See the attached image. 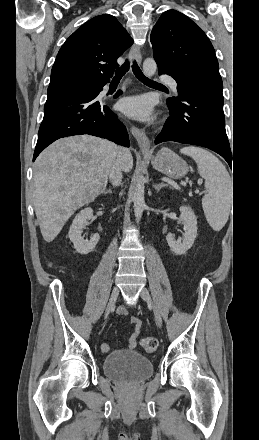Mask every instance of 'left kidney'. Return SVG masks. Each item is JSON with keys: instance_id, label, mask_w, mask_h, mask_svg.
<instances>
[{"instance_id": "obj_1", "label": "left kidney", "mask_w": 259, "mask_h": 440, "mask_svg": "<svg viewBox=\"0 0 259 440\" xmlns=\"http://www.w3.org/2000/svg\"><path fill=\"white\" fill-rule=\"evenodd\" d=\"M180 212L179 221L184 225L185 230L183 240L176 241L172 233L166 236L171 251L176 255L185 254L192 247L197 236V219L193 210L189 206H181Z\"/></svg>"}]
</instances>
